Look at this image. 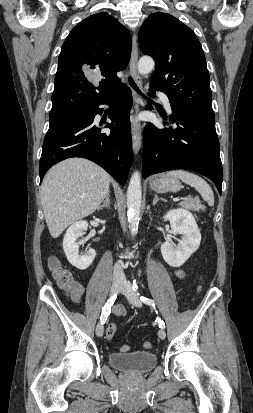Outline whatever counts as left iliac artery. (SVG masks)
<instances>
[{"label":"left iliac artery","mask_w":253,"mask_h":413,"mask_svg":"<svg viewBox=\"0 0 253 413\" xmlns=\"http://www.w3.org/2000/svg\"><path fill=\"white\" fill-rule=\"evenodd\" d=\"M137 288H138V287H137V285H136V281L134 280V281H133V290L136 291V295H137V296H140V300H141L144 304L149 305V306H152V307H155V302H154V300H153V299H150V298H147V297H145V296H141L140 293L137 291ZM158 322H159V327H160V328H162V329L165 328V323H164L163 320L159 319Z\"/></svg>","instance_id":"left-iliac-artery-1"}]
</instances>
